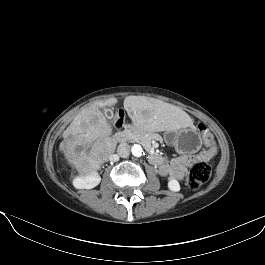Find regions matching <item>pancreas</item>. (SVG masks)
<instances>
[{
  "label": "pancreas",
  "instance_id": "cf45deb5",
  "mask_svg": "<svg viewBox=\"0 0 265 265\" xmlns=\"http://www.w3.org/2000/svg\"><path fill=\"white\" fill-rule=\"evenodd\" d=\"M126 138L128 141H134L142 144L147 150L151 149V142L153 140H162L159 136L155 134H145L139 131H128Z\"/></svg>",
  "mask_w": 265,
  "mask_h": 265
}]
</instances>
